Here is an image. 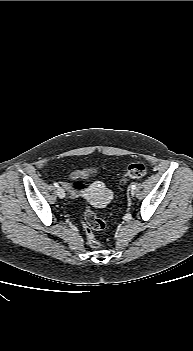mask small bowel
<instances>
[{"mask_svg": "<svg viewBox=\"0 0 193 351\" xmlns=\"http://www.w3.org/2000/svg\"><path fill=\"white\" fill-rule=\"evenodd\" d=\"M88 173H82V175H87ZM81 174L80 173H76L73 175V178L79 177Z\"/></svg>", "mask_w": 193, "mask_h": 351, "instance_id": "small-bowel-1", "label": "small bowel"}]
</instances>
